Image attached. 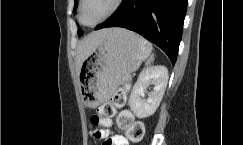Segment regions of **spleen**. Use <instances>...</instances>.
<instances>
[{"label":"spleen","mask_w":243,"mask_h":145,"mask_svg":"<svg viewBox=\"0 0 243 145\" xmlns=\"http://www.w3.org/2000/svg\"><path fill=\"white\" fill-rule=\"evenodd\" d=\"M153 60H154V57H153V55H151L150 58L147 60L146 65L147 66L150 65L153 62Z\"/></svg>","instance_id":"1"}]
</instances>
